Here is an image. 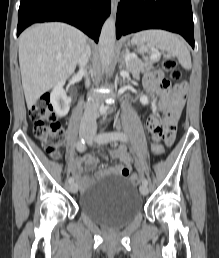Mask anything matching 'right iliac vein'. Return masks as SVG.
I'll return each instance as SVG.
<instances>
[{
	"label": "right iliac vein",
	"instance_id": "1",
	"mask_svg": "<svg viewBox=\"0 0 219 258\" xmlns=\"http://www.w3.org/2000/svg\"><path fill=\"white\" fill-rule=\"evenodd\" d=\"M83 137L88 138V135H87V134H83ZM69 190H70V192H72V193H76L77 190H78L77 184H76V183H71V184L69 185Z\"/></svg>",
	"mask_w": 219,
	"mask_h": 258
}]
</instances>
